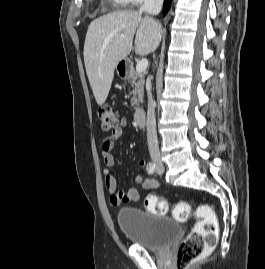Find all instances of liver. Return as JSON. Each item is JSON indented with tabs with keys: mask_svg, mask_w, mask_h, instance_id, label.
I'll return each mask as SVG.
<instances>
[{
	"mask_svg": "<svg viewBox=\"0 0 265 269\" xmlns=\"http://www.w3.org/2000/svg\"><path fill=\"white\" fill-rule=\"evenodd\" d=\"M162 27L153 18L133 10L115 11L92 21L84 44L86 73L98 105L106 101L117 63L130 54L147 55L158 47Z\"/></svg>",
	"mask_w": 265,
	"mask_h": 269,
	"instance_id": "1",
	"label": "liver"
}]
</instances>
